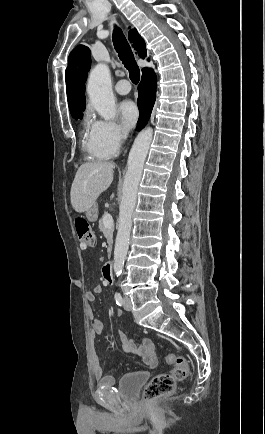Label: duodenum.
Returning a JSON list of instances; mask_svg holds the SVG:
<instances>
[{
    "label": "duodenum",
    "mask_w": 265,
    "mask_h": 434,
    "mask_svg": "<svg viewBox=\"0 0 265 434\" xmlns=\"http://www.w3.org/2000/svg\"><path fill=\"white\" fill-rule=\"evenodd\" d=\"M112 270H113L112 263H110V262L106 263L104 268H103V278H104V281L108 284L113 283Z\"/></svg>",
    "instance_id": "410a0bca"
}]
</instances>
